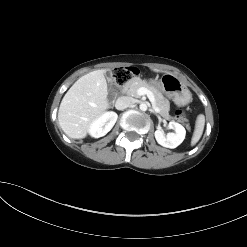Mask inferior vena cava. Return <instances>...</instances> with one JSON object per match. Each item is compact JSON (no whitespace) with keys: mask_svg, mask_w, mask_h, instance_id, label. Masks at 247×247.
Wrapping results in <instances>:
<instances>
[{"mask_svg":"<svg viewBox=\"0 0 247 247\" xmlns=\"http://www.w3.org/2000/svg\"><path fill=\"white\" fill-rule=\"evenodd\" d=\"M134 103V99L128 96H121L116 100L115 107L117 110H123L130 107Z\"/></svg>","mask_w":247,"mask_h":247,"instance_id":"602c4592","label":"inferior vena cava"}]
</instances>
